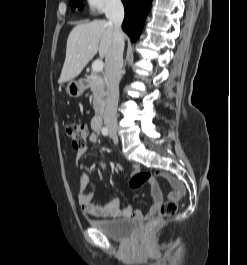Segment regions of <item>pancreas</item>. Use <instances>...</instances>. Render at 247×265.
<instances>
[{"label":"pancreas","instance_id":"1","mask_svg":"<svg viewBox=\"0 0 247 265\" xmlns=\"http://www.w3.org/2000/svg\"><path fill=\"white\" fill-rule=\"evenodd\" d=\"M89 87L93 93V108L95 113L101 112L105 103V96L107 94L104 79L96 73H91L88 77Z\"/></svg>","mask_w":247,"mask_h":265}]
</instances>
